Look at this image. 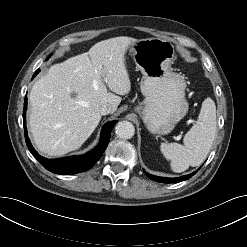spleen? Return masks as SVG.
Wrapping results in <instances>:
<instances>
[{
	"mask_svg": "<svg viewBox=\"0 0 247 247\" xmlns=\"http://www.w3.org/2000/svg\"><path fill=\"white\" fill-rule=\"evenodd\" d=\"M216 106L211 98L203 101L197 123L185 134L183 145L162 143V154L174 172L200 165L207 157L216 135Z\"/></svg>",
	"mask_w": 247,
	"mask_h": 247,
	"instance_id": "obj_1",
	"label": "spleen"
}]
</instances>
